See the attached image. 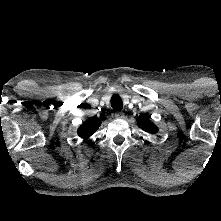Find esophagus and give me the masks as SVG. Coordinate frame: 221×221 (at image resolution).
<instances>
[{"label": "esophagus", "instance_id": "34e87169", "mask_svg": "<svg viewBox=\"0 0 221 221\" xmlns=\"http://www.w3.org/2000/svg\"><path fill=\"white\" fill-rule=\"evenodd\" d=\"M115 117L119 119H123L125 117V114L122 111H117L115 113Z\"/></svg>", "mask_w": 221, "mask_h": 221}]
</instances>
